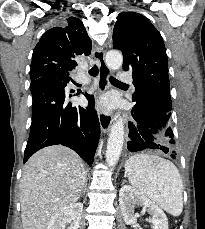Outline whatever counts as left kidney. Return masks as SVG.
I'll return each instance as SVG.
<instances>
[{"label":"left kidney","mask_w":205,"mask_h":229,"mask_svg":"<svg viewBox=\"0 0 205 229\" xmlns=\"http://www.w3.org/2000/svg\"><path fill=\"white\" fill-rule=\"evenodd\" d=\"M119 205L123 219L128 225L137 226L138 214L134 210L135 206H141L143 212L150 215L148 221L152 223V229H168V219L163 210L132 186L121 187Z\"/></svg>","instance_id":"1"}]
</instances>
